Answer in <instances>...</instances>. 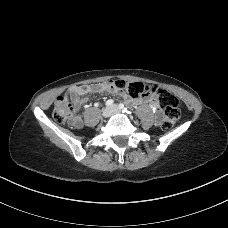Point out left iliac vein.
Segmentation results:
<instances>
[{"label": "left iliac vein", "mask_w": 228, "mask_h": 228, "mask_svg": "<svg viewBox=\"0 0 228 228\" xmlns=\"http://www.w3.org/2000/svg\"><path fill=\"white\" fill-rule=\"evenodd\" d=\"M111 108H112L113 113H119L120 112V109L117 105H113Z\"/></svg>", "instance_id": "1"}]
</instances>
